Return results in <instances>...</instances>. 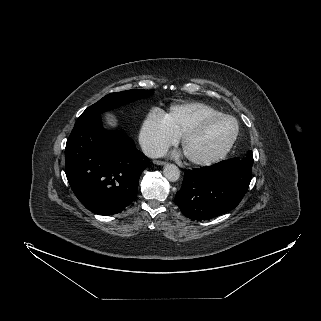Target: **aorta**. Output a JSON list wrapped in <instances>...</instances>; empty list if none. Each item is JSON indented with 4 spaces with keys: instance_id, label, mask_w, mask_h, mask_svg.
Masks as SVG:
<instances>
[{
    "instance_id": "762f6f07",
    "label": "aorta",
    "mask_w": 321,
    "mask_h": 321,
    "mask_svg": "<svg viewBox=\"0 0 321 321\" xmlns=\"http://www.w3.org/2000/svg\"><path fill=\"white\" fill-rule=\"evenodd\" d=\"M163 174L171 182H175L180 178V170L174 164H166L163 168Z\"/></svg>"
}]
</instances>
